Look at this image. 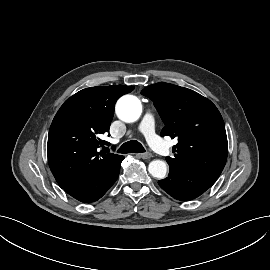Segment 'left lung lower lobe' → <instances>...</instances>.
<instances>
[{
  "instance_id": "0a47b994",
  "label": "left lung lower lobe",
  "mask_w": 270,
  "mask_h": 270,
  "mask_svg": "<svg viewBox=\"0 0 270 270\" xmlns=\"http://www.w3.org/2000/svg\"><path fill=\"white\" fill-rule=\"evenodd\" d=\"M216 180V177L200 171L170 167L168 177L158 184L173 198L187 201L203 194Z\"/></svg>"
}]
</instances>
